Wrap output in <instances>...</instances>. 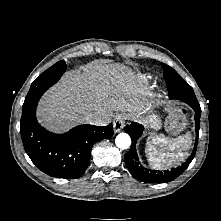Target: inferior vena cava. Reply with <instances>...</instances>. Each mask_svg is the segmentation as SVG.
I'll return each mask as SVG.
<instances>
[{"instance_id":"1","label":"inferior vena cava","mask_w":221,"mask_h":221,"mask_svg":"<svg viewBox=\"0 0 221 221\" xmlns=\"http://www.w3.org/2000/svg\"><path fill=\"white\" fill-rule=\"evenodd\" d=\"M98 119V116L96 114H90L88 117H87V120L88 121H94Z\"/></svg>"}]
</instances>
